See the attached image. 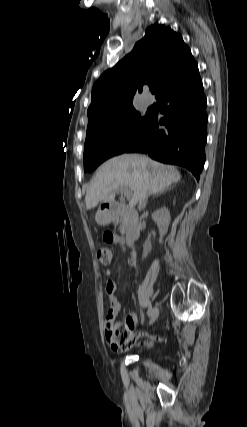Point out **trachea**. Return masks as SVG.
<instances>
[{
    "label": "trachea",
    "mask_w": 247,
    "mask_h": 427,
    "mask_svg": "<svg viewBox=\"0 0 247 427\" xmlns=\"http://www.w3.org/2000/svg\"><path fill=\"white\" fill-rule=\"evenodd\" d=\"M151 92L154 94L155 93V88H151Z\"/></svg>",
    "instance_id": "1"
}]
</instances>
